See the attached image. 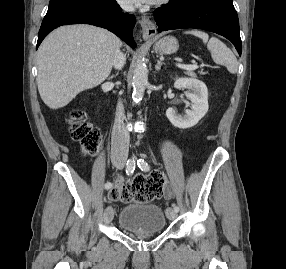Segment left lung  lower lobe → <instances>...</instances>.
I'll list each match as a JSON object with an SVG mask.
<instances>
[{"label":"left lung lower lobe","mask_w":286,"mask_h":269,"mask_svg":"<svg viewBox=\"0 0 286 269\" xmlns=\"http://www.w3.org/2000/svg\"><path fill=\"white\" fill-rule=\"evenodd\" d=\"M158 31L199 28L229 39L241 56L239 21L232 0H170L155 11Z\"/></svg>","instance_id":"left-lung-lower-lobe-1"}]
</instances>
